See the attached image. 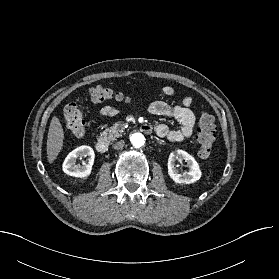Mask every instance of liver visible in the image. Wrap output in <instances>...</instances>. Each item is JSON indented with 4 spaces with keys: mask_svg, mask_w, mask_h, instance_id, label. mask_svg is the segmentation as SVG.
Masks as SVG:
<instances>
[{
    "mask_svg": "<svg viewBox=\"0 0 279 279\" xmlns=\"http://www.w3.org/2000/svg\"><path fill=\"white\" fill-rule=\"evenodd\" d=\"M47 137V158L49 163H53L62 149L64 140V131L56 116L51 120Z\"/></svg>",
    "mask_w": 279,
    "mask_h": 279,
    "instance_id": "1",
    "label": "liver"
}]
</instances>
